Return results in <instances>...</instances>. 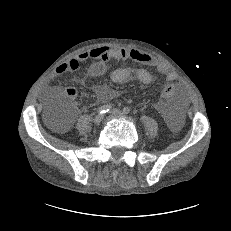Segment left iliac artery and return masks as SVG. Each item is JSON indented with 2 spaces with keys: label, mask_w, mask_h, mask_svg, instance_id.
<instances>
[{
  "label": "left iliac artery",
  "mask_w": 231,
  "mask_h": 231,
  "mask_svg": "<svg viewBox=\"0 0 231 231\" xmlns=\"http://www.w3.org/2000/svg\"><path fill=\"white\" fill-rule=\"evenodd\" d=\"M123 112H124L125 114H128V113L130 112V108H129V107H124V108H123Z\"/></svg>",
  "instance_id": "left-iliac-artery-1"
}]
</instances>
